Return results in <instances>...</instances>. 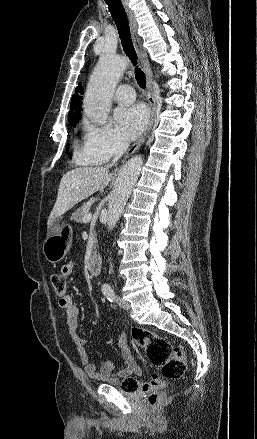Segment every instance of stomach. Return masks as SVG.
Returning <instances> with one entry per match:
<instances>
[{
    "instance_id": "1",
    "label": "stomach",
    "mask_w": 257,
    "mask_h": 439,
    "mask_svg": "<svg viewBox=\"0 0 257 439\" xmlns=\"http://www.w3.org/2000/svg\"><path fill=\"white\" fill-rule=\"evenodd\" d=\"M72 234L71 225L62 217L56 218L48 226L43 253L49 262L57 263L66 256L71 247Z\"/></svg>"
}]
</instances>
